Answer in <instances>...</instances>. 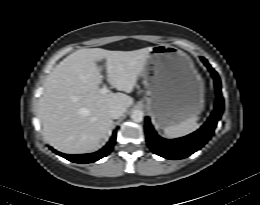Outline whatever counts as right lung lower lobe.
Instances as JSON below:
<instances>
[{"instance_id":"right-lung-lower-lobe-1","label":"right lung lower lobe","mask_w":260,"mask_h":205,"mask_svg":"<svg viewBox=\"0 0 260 205\" xmlns=\"http://www.w3.org/2000/svg\"><path fill=\"white\" fill-rule=\"evenodd\" d=\"M115 140H116V131H114L110 141L107 143V145L105 147H103L98 152L91 153V154L68 155V154L60 153L56 150H53V152H55L56 154L66 158L67 160H70L72 162L91 163V162H95V161L107 156L113 149Z\"/></svg>"}]
</instances>
